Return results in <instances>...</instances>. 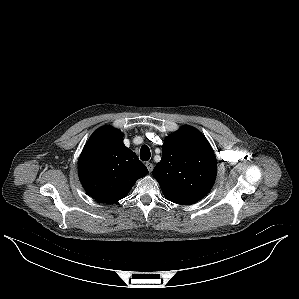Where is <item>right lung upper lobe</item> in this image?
I'll list each match as a JSON object with an SVG mask.
<instances>
[{"mask_svg": "<svg viewBox=\"0 0 299 299\" xmlns=\"http://www.w3.org/2000/svg\"><path fill=\"white\" fill-rule=\"evenodd\" d=\"M148 169L123 144L121 131L110 126L97 129L80 155L78 174L86 192L102 203L124 198Z\"/></svg>", "mask_w": 299, "mask_h": 299, "instance_id": "right-lung-upper-lobe-1", "label": "right lung upper lobe"}]
</instances>
